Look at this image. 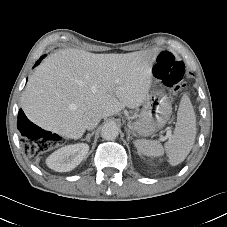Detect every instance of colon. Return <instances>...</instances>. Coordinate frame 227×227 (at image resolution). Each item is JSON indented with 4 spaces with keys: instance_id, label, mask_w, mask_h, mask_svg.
Masks as SVG:
<instances>
[{
    "instance_id": "obj_1",
    "label": "colon",
    "mask_w": 227,
    "mask_h": 227,
    "mask_svg": "<svg viewBox=\"0 0 227 227\" xmlns=\"http://www.w3.org/2000/svg\"><path fill=\"white\" fill-rule=\"evenodd\" d=\"M156 78L161 80L174 93L179 92L184 86L185 65L170 52H162L156 59L153 67ZM32 141H25L24 152L28 155H36L45 152L50 147L51 134L44 131H35Z\"/></svg>"
}]
</instances>
